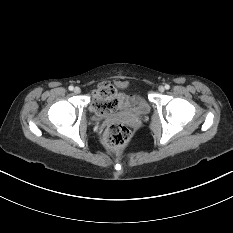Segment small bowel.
<instances>
[{
  "label": "small bowel",
  "instance_id": "obj_1",
  "mask_svg": "<svg viewBox=\"0 0 233 233\" xmlns=\"http://www.w3.org/2000/svg\"><path fill=\"white\" fill-rule=\"evenodd\" d=\"M118 100H119V105L120 104H124V102H125V98L124 97H122V96H120L119 98H118Z\"/></svg>",
  "mask_w": 233,
  "mask_h": 233
}]
</instances>
